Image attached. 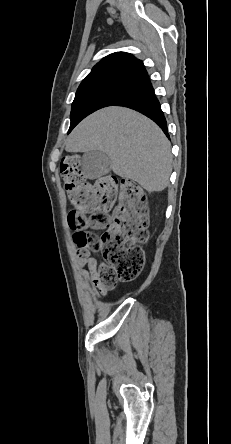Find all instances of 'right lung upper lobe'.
Instances as JSON below:
<instances>
[{
	"mask_svg": "<svg viewBox=\"0 0 231 444\" xmlns=\"http://www.w3.org/2000/svg\"><path fill=\"white\" fill-rule=\"evenodd\" d=\"M143 62L129 53L116 52L103 58L85 77L78 89L112 84L128 92L149 83Z\"/></svg>",
	"mask_w": 231,
	"mask_h": 444,
	"instance_id": "obj_1",
	"label": "right lung upper lobe"
}]
</instances>
